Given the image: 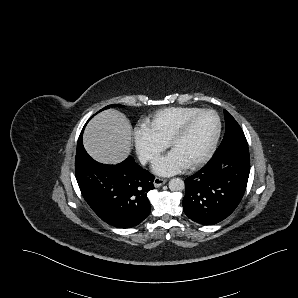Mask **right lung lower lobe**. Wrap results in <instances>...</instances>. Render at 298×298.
I'll return each instance as SVG.
<instances>
[{
	"label": "right lung lower lobe",
	"instance_id": "obj_1",
	"mask_svg": "<svg viewBox=\"0 0 298 298\" xmlns=\"http://www.w3.org/2000/svg\"><path fill=\"white\" fill-rule=\"evenodd\" d=\"M83 130L77 143L75 174L84 199L109 225L118 228L138 225L150 213L147 195L154 189V176L133 157L117 165L93 160L83 147Z\"/></svg>",
	"mask_w": 298,
	"mask_h": 298
}]
</instances>
